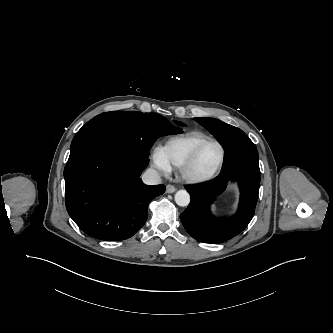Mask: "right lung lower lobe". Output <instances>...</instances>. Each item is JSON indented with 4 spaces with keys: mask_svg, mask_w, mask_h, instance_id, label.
I'll list each match as a JSON object with an SVG mask.
<instances>
[{
    "mask_svg": "<svg viewBox=\"0 0 333 333\" xmlns=\"http://www.w3.org/2000/svg\"><path fill=\"white\" fill-rule=\"evenodd\" d=\"M148 159L117 143L89 137L71 145L64 169L65 202L79 228L100 240L132 237L146 222L149 202L164 185H145Z\"/></svg>",
    "mask_w": 333,
    "mask_h": 333,
    "instance_id": "98d812e1",
    "label": "right lung lower lobe"
}]
</instances>
